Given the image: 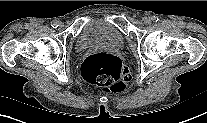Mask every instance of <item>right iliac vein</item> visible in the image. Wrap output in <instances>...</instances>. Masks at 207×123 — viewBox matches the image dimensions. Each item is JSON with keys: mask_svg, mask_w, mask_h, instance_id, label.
Returning <instances> with one entry per match:
<instances>
[{"mask_svg": "<svg viewBox=\"0 0 207 123\" xmlns=\"http://www.w3.org/2000/svg\"><path fill=\"white\" fill-rule=\"evenodd\" d=\"M62 25H63V24L60 22V23H59V26L62 27Z\"/></svg>", "mask_w": 207, "mask_h": 123, "instance_id": "right-iliac-vein-1", "label": "right iliac vein"}]
</instances>
